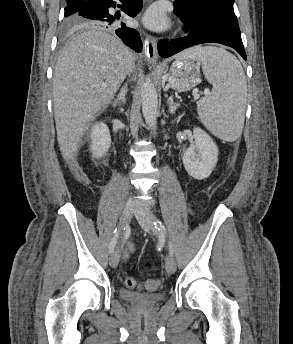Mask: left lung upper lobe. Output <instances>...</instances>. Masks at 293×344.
Returning <instances> with one entry per match:
<instances>
[{"label":"left lung upper lobe","instance_id":"5c2ea615","mask_svg":"<svg viewBox=\"0 0 293 344\" xmlns=\"http://www.w3.org/2000/svg\"><path fill=\"white\" fill-rule=\"evenodd\" d=\"M175 2L182 9L193 11L203 19H212L241 34L233 9L234 0H176Z\"/></svg>","mask_w":293,"mask_h":344}]
</instances>
